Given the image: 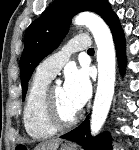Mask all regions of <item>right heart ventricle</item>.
Listing matches in <instances>:
<instances>
[{"mask_svg":"<svg viewBox=\"0 0 139 150\" xmlns=\"http://www.w3.org/2000/svg\"><path fill=\"white\" fill-rule=\"evenodd\" d=\"M50 80L49 78L35 75L24 104V128L28 135L35 139L47 138L56 132V129L45 121L43 115V101Z\"/></svg>","mask_w":139,"mask_h":150,"instance_id":"e07e8e85","label":"right heart ventricle"}]
</instances>
